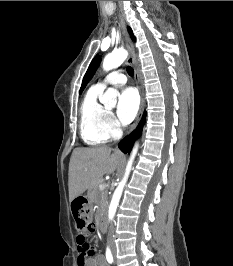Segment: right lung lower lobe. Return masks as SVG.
<instances>
[{
  "instance_id": "98d812e1",
  "label": "right lung lower lobe",
  "mask_w": 233,
  "mask_h": 266,
  "mask_svg": "<svg viewBox=\"0 0 233 266\" xmlns=\"http://www.w3.org/2000/svg\"><path fill=\"white\" fill-rule=\"evenodd\" d=\"M145 115L146 114L144 113V115H143L139 125L137 126V128L129 136H127L124 140H122L119 143L118 146L123 153L126 154V153L130 152L132 149L133 142L141 135L142 128H143V125L145 122Z\"/></svg>"
}]
</instances>
